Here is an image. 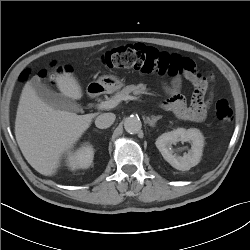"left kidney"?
<instances>
[{
  "instance_id": "left-kidney-1",
  "label": "left kidney",
  "mask_w": 250,
  "mask_h": 250,
  "mask_svg": "<svg viewBox=\"0 0 250 250\" xmlns=\"http://www.w3.org/2000/svg\"><path fill=\"white\" fill-rule=\"evenodd\" d=\"M191 142L192 146L188 153L183 156L178 155L172 148V144L177 142ZM156 147L161 152L163 158L175 169L187 171L196 166L201 159L204 137L200 130L196 128H177L173 131L163 133L155 142Z\"/></svg>"
}]
</instances>
